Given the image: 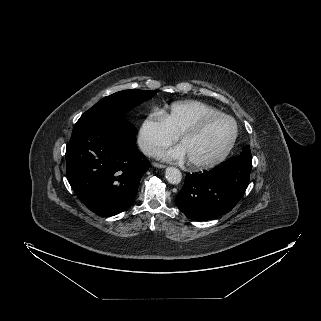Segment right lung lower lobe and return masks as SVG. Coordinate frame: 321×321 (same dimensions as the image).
Returning <instances> with one entry per match:
<instances>
[{
	"mask_svg": "<svg viewBox=\"0 0 321 321\" xmlns=\"http://www.w3.org/2000/svg\"><path fill=\"white\" fill-rule=\"evenodd\" d=\"M135 128L123 118L75 126L66 146V174L79 200L100 216L124 211L135 199L149 162Z\"/></svg>",
	"mask_w": 321,
	"mask_h": 321,
	"instance_id": "1",
	"label": "right lung lower lobe"
}]
</instances>
